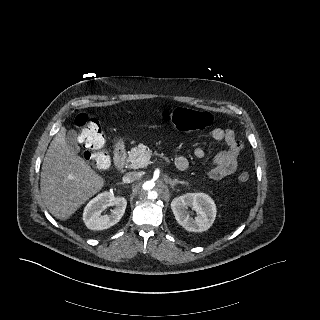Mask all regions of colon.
Here are the masks:
<instances>
[{"mask_svg": "<svg viewBox=\"0 0 320 320\" xmlns=\"http://www.w3.org/2000/svg\"><path fill=\"white\" fill-rule=\"evenodd\" d=\"M163 119L180 131H202L213 123L211 113L185 107L164 112ZM74 124L80 131L85 158L99 170L108 169L111 160L105 149L106 139L99 120L87 114H80L76 117ZM237 180L239 183H246L250 180V175L243 171L237 176Z\"/></svg>", "mask_w": 320, "mask_h": 320, "instance_id": "5ec220e1", "label": "colon"}]
</instances>
